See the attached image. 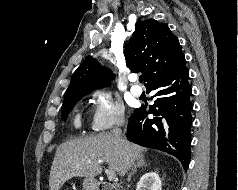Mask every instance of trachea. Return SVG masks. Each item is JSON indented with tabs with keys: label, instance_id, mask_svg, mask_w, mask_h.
Instances as JSON below:
<instances>
[{
	"label": "trachea",
	"instance_id": "3493384b",
	"mask_svg": "<svg viewBox=\"0 0 238 190\" xmlns=\"http://www.w3.org/2000/svg\"><path fill=\"white\" fill-rule=\"evenodd\" d=\"M139 81H140V82H143V76H140V77H139Z\"/></svg>",
	"mask_w": 238,
	"mask_h": 190
}]
</instances>
